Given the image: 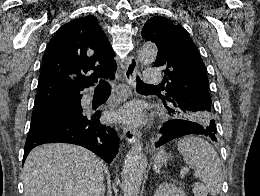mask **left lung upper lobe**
Returning <instances> with one entry per match:
<instances>
[{"label": "left lung upper lobe", "instance_id": "5c2ea615", "mask_svg": "<svg viewBox=\"0 0 260 196\" xmlns=\"http://www.w3.org/2000/svg\"><path fill=\"white\" fill-rule=\"evenodd\" d=\"M142 37L158 47L153 67L162 66L167 76L168 93L160 98L170 103L168 112L203 126L215 122L205 65L186 30L168 18L153 16L145 23Z\"/></svg>", "mask_w": 260, "mask_h": 196}]
</instances>
